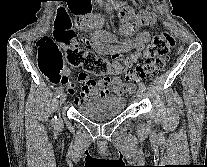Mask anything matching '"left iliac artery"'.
Returning <instances> with one entry per match:
<instances>
[{
    "label": "left iliac artery",
    "mask_w": 207,
    "mask_h": 167,
    "mask_svg": "<svg viewBox=\"0 0 207 167\" xmlns=\"http://www.w3.org/2000/svg\"><path fill=\"white\" fill-rule=\"evenodd\" d=\"M139 88L142 89L143 91L146 90V86L144 83H139Z\"/></svg>",
    "instance_id": "1"
}]
</instances>
